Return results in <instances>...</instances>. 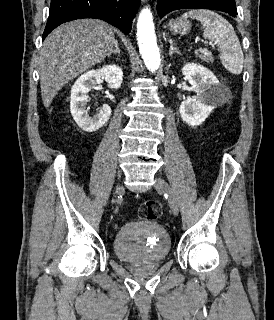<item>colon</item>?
<instances>
[{"mask_svg": "<svg viewBox=\"0 0 274 320\" xmlns=\"http://www.w3.org/2000/svg\"><path fill=\"white\" fill-rule=\"evenodd\" d=\"M162 210L159 203L155 199H148L143 202V206L139 211L142 219L152 221L160 216Z\"/></svg>", "mask_w": 274, "mask_h": 320, "instance_id": "colon-1", "label": "colon"}]
</instances>
